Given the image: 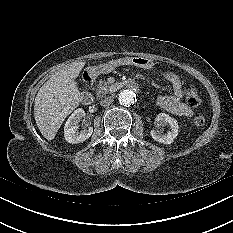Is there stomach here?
<instances>
[{
	"instance_id": "0dacf381",
	"label": "stomach",
	"mask_w": 233,
	"mask_h": 233,
	"mask_svg": "<svg viewBox=\"0 0 233 233\" xmlns=\"http://www.w3.org/2000/svg\"><path fill=\"white\" fill-rule=\"evenodd\" d=\"M128 65H136L140 68L150 69L153 67L154 62L148 57H135L134 55L114 56L112 61H106L103 66L92 67L90 70L95 73H106L114 69L125 68Z\"/></svg>"
}]
</instances>
